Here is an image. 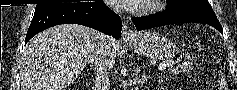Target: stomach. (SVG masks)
<instances>
[{
    "mask_svg": "<svg viewBox=\"0 0 237 90\" xmlns=\"http://www.w3.org/2000/svg\"><path fill=\"white\" fill-rule=\"evenodd\" d=\"M129 45L139 55L153 60L171 59L178 52L173 42L154 31L139 34Z\"/></svg>",
    "mask_w": 237,
    "mask_h": 90,
    "instance_id": "1",
    "label": "stomach"
}]
</instances>
